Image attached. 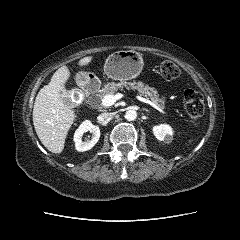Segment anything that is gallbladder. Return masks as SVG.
Returning <instances> with one entry per match:
<instances>
[{
    "mask_svg": "<svg viewBox=\"0 0 240 240\" xmlns=\"http://www.w3.org/2000/svg\"><path fill=\"white\" fill-rule=\"evenodd\" d=\"M67 94L70 95L71 92H68ZM65 104L71 105V104H72L71 99H70V98L66 99V100H65Z\"/></svg>",
    "mask_w": 240,
    "mask_h": 240,
    "instance_id": "1",
    "label": "gallbladder"
}]
</instances>
